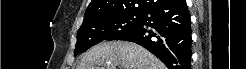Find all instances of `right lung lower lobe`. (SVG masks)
I'll return each instance as SVG.
<instances>
[{"label": "right lung lower lobe", "mask_w": 246, "mask_h": 69, "mask_svg": "<svg viewBox=\"0 0 246 69\" xmlns=\"http://www.w3.org/2000/svg\"><path fill=\"white\" fill-rule=\"evenodd\" d=\"M190 23L185 0H167L146 10L141 23L119 40L145 47L169 69H190Z\"/></svg>", "instance_id": "98d812e1"}]
</instances>
